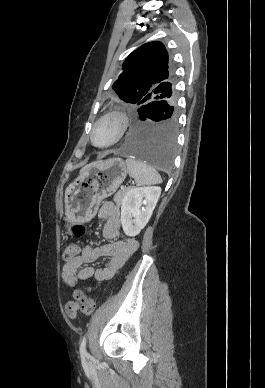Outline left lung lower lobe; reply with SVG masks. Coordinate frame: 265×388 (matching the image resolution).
Here are the masks:
<instances>
[{"instance_id":"obj_1","label":"left lung lower lobe","mask_w":265,"mask_h":388,"mask_svg":"<svg viewBox=\"0 0 265 388\" xmlns=\"http://www.w3.org/2000/svg\"><path fill=\"white\" fill-rule=\"evenodd\" d=\"M175 104V98L172 101H155L132 112L129 132L121 146L122 152L159 170L170 169L176 143Z\"/></svg>"}]
</instances>
